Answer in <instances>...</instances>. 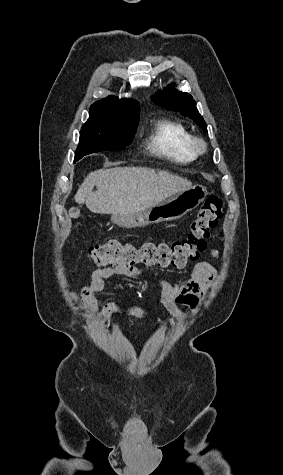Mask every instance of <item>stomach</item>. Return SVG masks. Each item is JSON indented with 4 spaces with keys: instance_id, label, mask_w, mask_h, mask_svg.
<instances>
[{
    "instance_id": "1",
    "label": "stomach",
    "mask_w": 283,
    "mask_h": 475,
    "mask_svg": "<svg viewBox=\"0 0 283 475\" xmlns=\"http://www.w3.org/2000/svg\"><path fill=\"white\" fill-rule=\"evenodd\" d=\"M207 196L205 186H192L190 190L180 192L173 198H168L164 202H159L156 206L145 208L142 212L134 214H112V224H117L120 228H142L157 222H168V220H179L187 212L197 208Z\"/></svg>"
}]
</instances>
